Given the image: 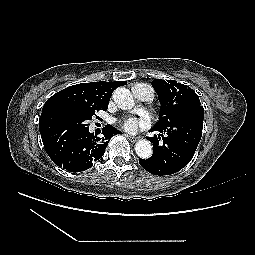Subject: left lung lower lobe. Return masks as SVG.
Listing matches in <instances>:
<instances>
[{"instance_id":"obj_1","label":"left lung lower lobe","mask_w":255,"mask_h":255,"mask_svg":"<svg viewBox=\"0 0 255 255\" xmlns=\"http://www.w3.org/2000/svg\"><path fill=\"white\" fill-rule=\"evenodd\" d=\"M204 110L194 118H183L169 127H157L151 131L166 133L147 139L153 144L154 153L149 159H139L140 165L155 175H170L180 171L192 159L202 136Z\"/></svg>"}]
</instances>
